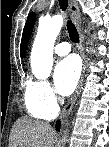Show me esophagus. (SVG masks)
Wrapping results in <instances>:
<instances>
[{"mask_svg":"<svg viewBox=\"0 0 109 147\" xmlns=\"http://www.w3.org/2000/svg\"><path fill=\"white\" fill-rule=\"evenodd\" d=\"M68 7H69V11L71 13L73 22H74V24H75V26L77 28V31L79 33V36H80L78 49H79V52H80V54H81V56H82V58L84 60V63L86 64V59H85V54H84V45H85L84 35H83L82 29H81V26H80L79 8H78L76 0H69L68 1ZM83 81H84V74L81 77L80 82L78 83L76 91L74 92L73 96L70 98V100L68 101L66 107L63 110V114H62L63 119L67 118L69 116V114L71 113L72 108H73V106L75 104V101H76V99H77V97H78V95H79V93L81 91Z\"/></svg>","mask_w":109,"mask_h":147,"instance_id":"1","label":"esophagus"}]
</instances>
